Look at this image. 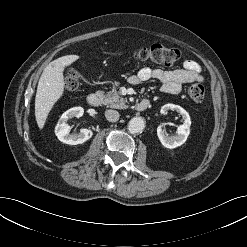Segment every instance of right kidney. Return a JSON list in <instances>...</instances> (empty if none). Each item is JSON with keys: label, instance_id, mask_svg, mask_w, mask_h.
<instances>
[{"label": "right kidney", "instance_id": "1", "mask_svg": "<svg viewBox=\"0 0 247 247\" xmlns=\"http://www.w3.org/2000/svg\"><path fill=\"white\" fill-rule=\"evenodd\" d=\"M83 113L84 109L82 107H73L62 114L55 127V134L61 142L77 145L84 143L92 137L93 132L86 128L81 129L79 134H69L70 126L67 124V121L73 117L79 118Z\"/></svg>", "mask_w": 247, "mask_h": 247}]
</instances>
